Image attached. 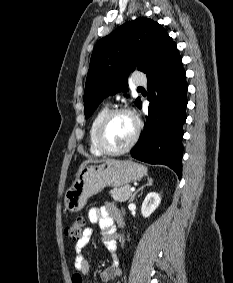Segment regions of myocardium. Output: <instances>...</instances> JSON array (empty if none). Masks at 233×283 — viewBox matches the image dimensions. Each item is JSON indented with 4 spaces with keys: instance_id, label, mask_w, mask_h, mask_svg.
<instances>
[{
    "instance_id": "myocardium-1",
    "label": "myocardium",
    "mask_w": 233,
    "mask_h": 283,
    "mask_svg": "<svg viewBox=\"0 0 233 283\" xmlns=\"http://www.w3.org/2000/svg\"><path fill=\"white\" fill-rule=\"evenodd\" d=\"M119 114H128L130 115L134 122H135V130H134V134L131 138V140L122 148L120 149H109L103 140L104 137V133L105 130L109 124V122L116 116ZM141 128H142V124L140 119L137 117V115L129 108L127 107H119V108H114L111 109L102 119V121L100 122L97 131H96V145L98 147V149L106 155H120L123 153L128 152L137 142L140 133H141Z\"/></svg>"
}]
</instances>
